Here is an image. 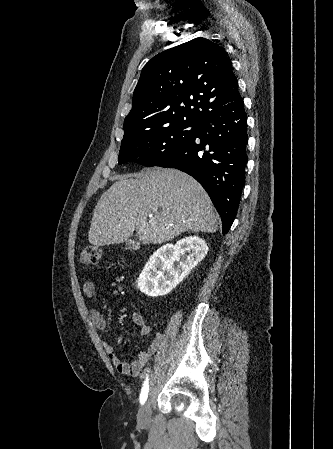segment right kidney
I'll use <instances>...</instances> for the list:
<instances>
[{"instance_id": "right-kidney-1", "label": "right kidney", "mask_w": 333, "mask_h": 449, "mask_svg": "<svg viewBox=\"0 0 333 449\" xmlns=\"http://www.w3.org/2000/svg\"><path fill=\"white\" fill-rule=\"evenodd\" d=\"M208 252L206 242L198 236L186 237L175 246L166 244L150 257L138 278V289L147 296L170 293ZM178 261L176 268L174 262Z\"/></svg>"}]
</instances>
